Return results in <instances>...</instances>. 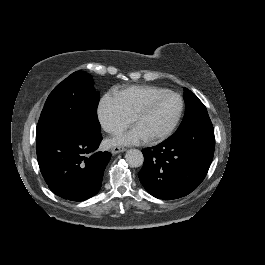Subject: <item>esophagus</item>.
Returning <instances> with one entry per match:
<instances>
[{
    "label": "esophagus",
    "instance_id": "obj_1",
    "mask_svg": "<svg viewBox=\"0 0 265 265\" xmlns=\"http://www.w3.org/2000/svg\"><path fill=\"white\" fill-rule=\"evenodd\" d=\"M126 151V148L124 147H120V146H115L112 148L111 152L113 154H117V153H120V152H125Z\"/></svg>",
    "mask_w": 265,
    "mask_h": 265
}]
</instances>
